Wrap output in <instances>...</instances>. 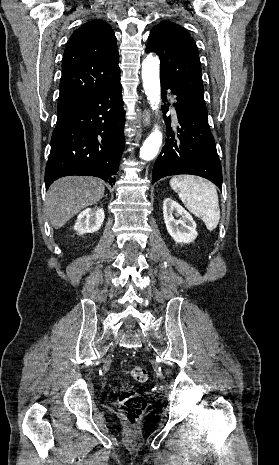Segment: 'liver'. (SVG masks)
Masks as SVG:
<instances>
[{
	"instance_id": "liver-1",
	"label": "liver",
	"mask_w": 279,
	"mask_h": 465,
	"mask_svg": "<svg viewBox=\"0 0 279 465\" xmlns=\"http://www.w3.org/2000/svg\"><path fill=\"white\" fill-rule=\"evenodd\" d=\"M103 181L95 177L67 176L49 188L45 210L51 225L61 228L82 209L98 203L104 196Z\"/></svg>"
}]
</instances>
